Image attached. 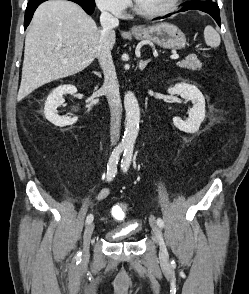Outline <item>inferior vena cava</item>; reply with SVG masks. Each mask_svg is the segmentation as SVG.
Segmentation results:
<instances>
[{
	"label": "inferior vena cava",
	"mask_w": 249,
	"mask_h": 294,
	"mask_svg": "<svg viewBox=\"0 0 249 294\" xmlns=\"http://www.w3.org/2000/svg\"><path fill=\"white\" fill-rule=\"evenodd\" d=\"M100 23L102 31L96 48V58L104 74L103 91L106 94L111 119H110V141L111 145H116L120 138L122 104L119 93V85L111 56L110 37L114 33L113 29L119 25V20L106 10H101Z\"/></svg>",
	"instance_id": "1"
}]
</instances>
